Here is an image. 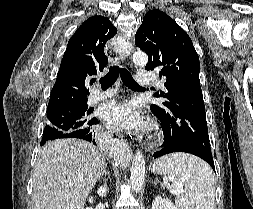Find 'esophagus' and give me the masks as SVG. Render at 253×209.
Segmentation results:
<instances>
[{
    "label": "esophagus",
    "mask_w": 253,
    "mask_h": 209,
    "mask_svg": "<svg viewBox=\"0 0 253 209\" xmlns=\"http://www.w3.org/2000/svg\"><path fill=\"white\" fill-rule=\"evenodd\" d=\"M121 45L123 46V56H124V59L128 58L133 49H134V45L133 43L127 39L126 37L122 36L121 37ZM108 129L110 130V132L115 135L116 137L120 138L122 137L120 132L118 131V129L114 128V127H108Z\"/></svg>",
    "instance_id": "1"
}]
</instances>
